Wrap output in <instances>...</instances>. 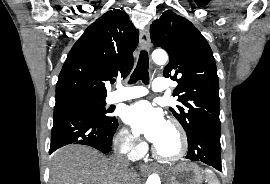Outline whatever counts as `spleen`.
Instances as JSON below:
<instances>
[{"label":"spleen","instance_id":"spleen-1","mask_svg":"<svg viewBox=\"0 0 270 184\" xmlns=\"http://www.w3.org/2000/svg\"><path fill=\"white\" fill-rule=\"evenodd\" d=\"M205 173H206L207 179L209 180L208 184H220V182L215 177V175L212 173V171L206 170Z\"/></svg>","mask_w":270,"mask_h":184}]
</instances>
